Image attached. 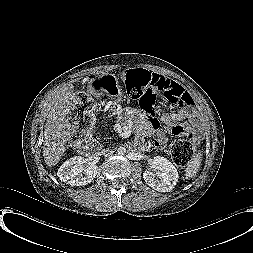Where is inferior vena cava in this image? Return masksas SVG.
Masks as SVG:
<instances>
[{"label": "inferior vena cava", "mask_w": 253, "mask_h": 253, "mask_svg": "<svg viewBox=\"0 0 253 253\" xmlns=\"http://www.w3.org/2000/svg\"><path fill=\"white\" fill-rule=\"evenodd\" d=\"M112 155H113V151H111V150H108V151L105 153V156H106L107 158H110Z\"/></svg>", "instance_id": "602c4592"}]
</instances>
